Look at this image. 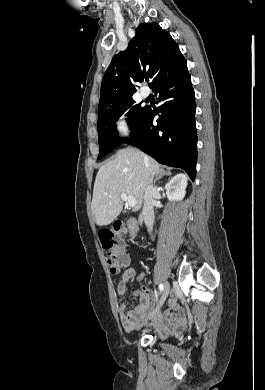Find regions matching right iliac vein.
Masks as SVG:
<instances>
[{"instance_id": "right-iliac-vein-1", "label": "right iliac vein", "mask_w": 265, "mask_h": 390, "mask_svg": "<svg viewBox=\"0 0 265 390\" xmlns=\"http://www.w3.org/2000/svg\"><path fill=\"white\" fill-rule=\"evenodd\" d=\"M169 292H170V285H169L168 282H165L164 289H163V292H162V296H161L159 305L155 308V310H153L149 314V318L153 317L157 313V311L160 309V307L163 305V303L165 302L166 298L168 297Z\"/></svg>"}]
</instances>
